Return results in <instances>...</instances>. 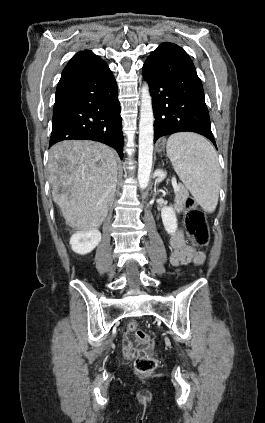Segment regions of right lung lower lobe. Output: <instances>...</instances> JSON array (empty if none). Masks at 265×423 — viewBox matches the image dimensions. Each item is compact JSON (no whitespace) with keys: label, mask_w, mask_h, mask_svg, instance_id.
<instances>
[{"label":"right lung lower lobe","mask_w":265,"mask_h":423,"mask_svg":"<svg viewBox=\"0 0 265 423\" xmlns=\"http://www.w3.org/2000/svg\"><path fill=\"white\" fill-rule=\"evenodd\" d=\"M115 78L93 53L76 54L55 95L49 146L70 139L99 141L123 158L122 118Z\"/></svg>","instance_id":"1"}]
</instances>
